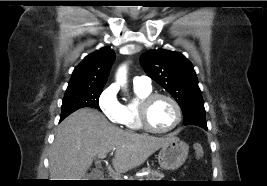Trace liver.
Here are the masks:
<instances>
[{
	"instance_id": "1",
	"label": "liver",
	"mask_w": 267,
	"mask_h": 186,
	"mask_svg": "<svg viewBox=\"0 0 267 186\" xmlns=\"http://www.w3.org/2000/svg\"><path fill=\"white\" fill-rule=\"evenodd\" d=\"M172 138L124 131L112 125L103 114L82 108L57 128L49 155L51 180H82L99 154L115 149L114 169L125 173L142 165L148 157Z\"/></svg>"
}]
</instances>
